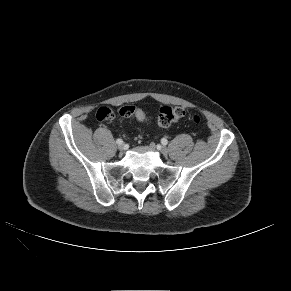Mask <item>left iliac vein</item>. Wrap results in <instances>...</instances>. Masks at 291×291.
Masks as SVG:
<instances>
[{"label": "left iliac vein", "mask_w": 291, "mask_h": 291, "mask_svg": "<svg viewBox=\"0 0 291 291\" xmlns=\"http://www.w3.org/2000/svg\"><path fill=\"white\" fill-rule=\"evenodd\" d=\"M154 147H155V145H154V144H151V148H154ZM159 151H160L164 156H166V155L168 154V150H167L166 147H160V148H159Z\"/></svg>", "instance_id": "obj_1"}]
</instances>
